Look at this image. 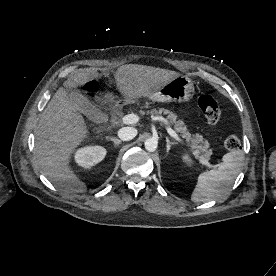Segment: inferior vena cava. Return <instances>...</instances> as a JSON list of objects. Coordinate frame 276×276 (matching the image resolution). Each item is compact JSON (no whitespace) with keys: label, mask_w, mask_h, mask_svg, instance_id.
<instances>
[{"label":"inferior vena cava","mask_w":276,"mask_h":276,"mask_svg":"<svg viewBox=\"0 0 276 276\" xmlns=\"http://www.w3.org/2000/svg\"><path fill=\"white\" fill-rule=\"evenodd\" d=\"M137 135V130L133 127H123L118 131V136L123 141L132 140Z\"/></svg>","instance_id":"inferior-vena-cava-1"}]
</instances>
